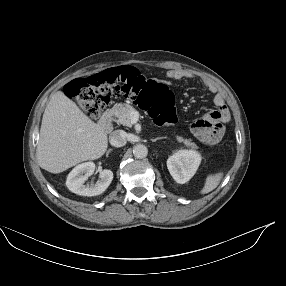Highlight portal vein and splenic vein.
I'll list each match as a JSON object with an SVG mask.
<instances>
[{
	"instance_id": "obj_1",
	"label": "portal vein and splenic vein",
	"mask_w": 286,
	"mask_h": 286,
	"mask_svg": "<svg viewBox=\"0 0 286 286\" xmlns=\"http://www.w3.org/2000/svg\"><path fill=\"white\" fill-rule=\"evenodd\" d=\"M131 116H132V122L133 123H136L137 121H138V118H139V114H138V112L137 111H132L131 112Z\"/></svg>"
}]
</instances>
